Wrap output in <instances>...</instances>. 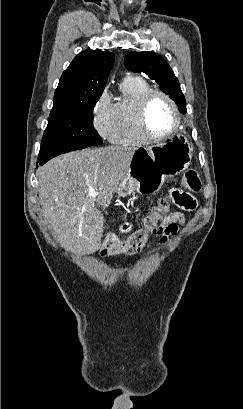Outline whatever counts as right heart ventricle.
<instances>
[{"mask_svg": "<svg viewBox=\"0 0 243 409\" xmlns=\"http://www.w3.org/2000/svg\"><path fill=\"white\" fill-rule=\"evenodd\" d=\"M121 97L113 104V127L110 141L119 145H141L147 140L136 123V106L150 85L138 77H126L121 84Z\"/></svg>", "mask_w": 243, "mask_h": 409, "instance_id": "obj_1", "label": "right heart ventricle"}]
</instances>
